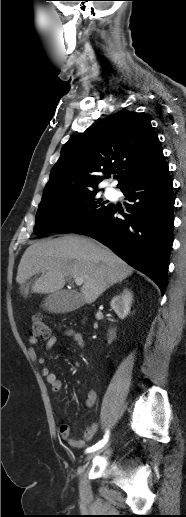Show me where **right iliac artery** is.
I'll return each instance as SVG.
<instances>
[{
	"mask_svg": "<svg viewBox=\"0 0 186 517\" xmlns=\"http://www.w3.org/2000/svg\"><path fill=\"white\" fill-rule=\"evenodd\" d=\"M108 439H109V430L106 431V433L101 441H99L95 445L87 448L86 453H90V452L96 451L98 449H101L108 442Z\"/></svg>",
	"mask_w": 186,
	"mask_h": 517,
	"instance_id": "right-iliac-artery-1",
	"label": "right iliac artery"
}]
</instances>
